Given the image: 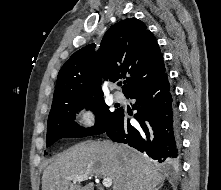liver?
<instances>
[{"label":"liver","mask_w":221,"mask_h":190,"mask_svg":"<svg viewBox=\"0 0 221 190\" xmlns=\"http://www.w3.org/2000/svg\"><path fill=\"white\" fill-rule=\"evenodd\" d=\"M96 175L111 178L113 190H154L164 177L150 159L135 149L110 141H86L64 151L45 168L42 190H93L68 178Z\"/></svg>","instance_id":"6515ba94"}]
</instances>
